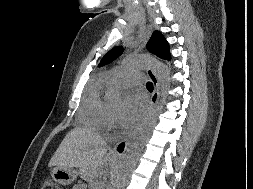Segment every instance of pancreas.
<instances>
[{
    "instance_id": "1",
    "label": "pancreas",
    "mask_w": 253,
    "mask_h": 189,
    "mask_svg": "<svg viewBox=\"0 0 253 189\" xmlns=\"http://www.w3.org/2000/svg\"><path fill=\"white\" fill-rule=\"evenodd\" d=\"M80 175L82 179L92 182L96 177V172L89 167H82L80 169Z\"/></svg>"
}]
</instances>
